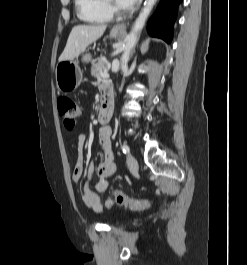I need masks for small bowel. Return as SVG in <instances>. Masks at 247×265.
<instances>
[{
    "label": "small bowel",
    "instance_id": "c3829d8e",
    "mask_svg": "<svg viewBox=\"0 0 247 265\" xmlns=\"http://www.w3.org/2000/svg\"><path fill=\"white\" fill-rule=\"evenodd\" d=\"M109 87L107 85L102 86L104 88ZM99 141L103 151L102 159L96 166L94 162L89 163L87 167V181L84 185L81 195V201L89 208H92L96 212L102 210V204L99 197V193L106 192L110 186V178L116 172V165L114 162V155L111 149V129L109 127H101L99 129ZM87 137L85 134L78 136V156L72 172V180L78 182L83 174V149L86 144ZM96 172L99 180L92 185V179ZM116 205L115 201L109 199L105 202L107 208H112Z\"/></svg>",
    "mask_w": 247,
    "mask_h": 265
}]
</instances>
